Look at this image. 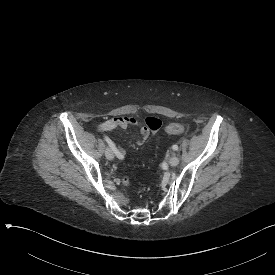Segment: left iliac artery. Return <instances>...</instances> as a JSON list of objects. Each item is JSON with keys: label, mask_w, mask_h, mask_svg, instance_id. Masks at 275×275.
Returning <instances> with one entry per match:
<instances>
[{"label": "left iliac artery", "mask_w": 275, "mask_h": 275, "mask_svg": "<svg viewBox=\"0 0 275 275\" xmlns=\"http://www.w3.org/2000/svg\"><path fill=\"white\" fill-rule=\"evenodd\" d=\"M172 148H173V150H175V151L178 150V146H177V145H173Z\"/></svg>", "instance_id": "left-iliac-artery-1"}]
</instances>
